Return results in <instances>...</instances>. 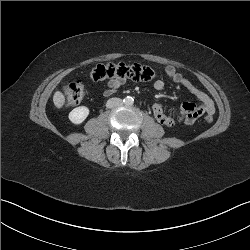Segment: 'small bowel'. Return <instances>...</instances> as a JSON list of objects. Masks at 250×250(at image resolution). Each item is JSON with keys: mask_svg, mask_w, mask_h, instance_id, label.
Returning <instances> with one entry per match:
<instances>
[{"mask_svg": "<svg viewBox=\"0 0 250 250\" xmlns=\"http://www.w3.org/2000/svg\"><path fill=\"white\" fill-rule=\"evenodd\" d=\"M165 75L175 84H178L185 88L189 93L194 95L200 102L199 105L194 103L185 102L182 104L178 114H167L161 103H154L152 106L153 114L156 120L165 126L172 127L176 124H193L202 114L215 113V106L213 100L202 90L196 87L191 81L183 76L177 69L168 65L165 67ZM124 79H110L106 83V89L104 94L106 96L114 94L123 84ZM154 88L157 91H162L165 88V82L162 79H158L154 83Z\"/></svg>", "mask_w": 250, "mask_h": 250, "instance_id": "1", "label": "small bowel"}]
</instances>
